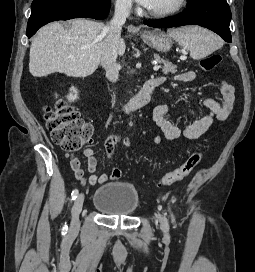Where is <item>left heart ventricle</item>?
Segmentation results:
<instances>
[{
  "instance_id": "obj_1",
  "label": "left heart ventricle",
  "mask_w": 255,
  "mask_h": 272,
  "mask_svg": "<svg viewBox=\"0 0 255 272\" xmlns=\"http://www.w3.org/2000/svg\"><path fill=\"white\" fill-rule=\"evenodd\" d=\"M178 0H152L148 7L151 11H160L173 6Z\"/></svg>"
}]
</instances>
